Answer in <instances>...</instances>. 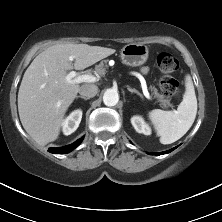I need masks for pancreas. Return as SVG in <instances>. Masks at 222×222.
Masks as SVG:
<instances>
[{"label": "pancreas", "instance_id": "pancreas-1", "mask_svg": "<svg viewBox=\"0 0 222 222\" xmlns=\"http://www.w3.org/2000/svg\"><path fill=\"white\" fill-rule=\"evenodd\" d=\"M107 60L101 61L99 63V65L95 66V72L97 75L99 76H104L106 74V69H107ZM150 89L152 91V95L157 98L158 102H160V106L161 107H167L170 106V100L169 99H165L164 95H161L157 88H155L154 86H150Z\"/></svg>", "mask_w": 222, "mask_h": 222}]
</instances>
